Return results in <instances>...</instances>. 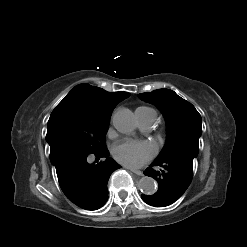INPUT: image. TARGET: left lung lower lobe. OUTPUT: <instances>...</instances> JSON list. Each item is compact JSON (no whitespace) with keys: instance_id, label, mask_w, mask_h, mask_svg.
Returning a JSON list of instances; mask_svg holds the SVG:
<instances>
[{"instance_id":"0a47b994","label":"left lung lower lobe","mask_w":247,"mask_h":247,"mask_svg":"<svg viewBox=\"0 0 247 247\" xmlns=\"http://www.w3.org/2000/svg\"><path fill=\"white\" fill-rule=\"evenodd\" d=\"M154 166L162 167V170H154ZM193 158L176 154L166 158H157L144 174L154 178L159 189L153 195H144L143 201L155 207L168 206L178 200L186 191L192 180Z\"/></svg>"}]
</instances>
